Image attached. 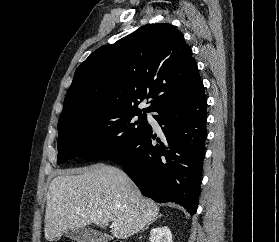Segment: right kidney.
<instances>
[{"label": "right kidney", "mask_w": 279, "mask_h": 242, "mask_svg": "<svg viewBox=\"0 0 279 242\" xmlns=\"http://www.w3.org/2000/svg\"><path fill=\"white\" fill-rule=\"evenodd\" d=\"M150 242H173L172 234L168 227H157L150 231Z\"/></svg>", "instance_id": "right-kidney-1"}]
</instances>
